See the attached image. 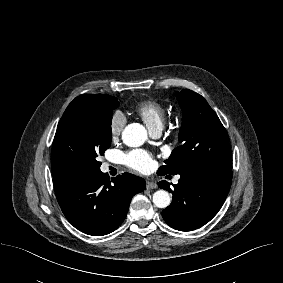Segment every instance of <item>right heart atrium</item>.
<instances>
[{
    "label": "right heart atrium",
    "instance_id": "1",
    "mask_svg": "<svg viewBox=\"0 0 283 283\" xmlns=\"http://www.w3.org/2000/svg\"><path fill=\"white\" fill-rule=\"evenodd\" d=\"M125 124L126 117L124 116V114L120 111L114 112L109 124L110 134L113 139H116L121 135Z\"/></svg>",
    "mask_w": 283,
    "mask_h": 283
}]
</instances>
